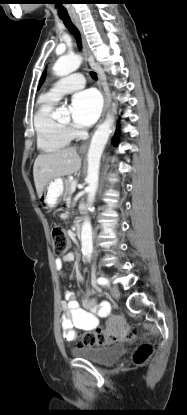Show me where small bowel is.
I'll return each instance as SVG.
<instances>
[{
	"instance_id": "small-bowel-1",
	"label": "small bowel",
	"mask_w": 187,
	"mask_h": 415,
	"mask_svg": "<svg viewBox=\"0 0 187 415\" xmlns=\"http://www.w3.org/2000/svg\"><path fill=\"white\" fill-rule=\"evenodd\" d=\"M74 260L73 253H67L55 260V266L61 270L65 263ZM98 288L94 286L85 295L80 307L72 291L64 290L61 307L63 315L61 318V328L67 341H76L79 331H93L99 325L101 318H109V323L113 324L118 320L116 316H110V306L107 302H98L94 294Z\"/></svg>"
}]
</instances>
